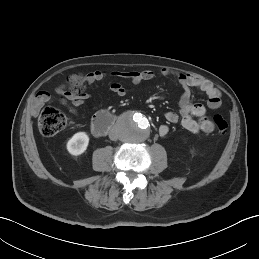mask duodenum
<instances>
[{"mask_svg": "<svg viewBox=\"0 0 259 259\" xmlns=\"http://www.w3.org/2000/svg\"><path fill=\"white\" fill-rule=\"evenodd\" d=\"M114 124V116L107 112H100L93 119L91 130L94 135L101 136L107 133Z\"/></svg>", "mask_w": 259, "mask_h": 259, "instance_id": "duodenum-1", "label": "duodenum"}]
</instances>
